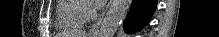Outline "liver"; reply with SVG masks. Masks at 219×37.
<instances>
[{
    "mask_svg": "<svg viewBox=\"0 0 219 37\" xmlns=\"http://www.w3.org/2000/svg\"><path fill=\"white\" fill-rule=\"evenodd\" d=\"M77 35H80L79 37H87V34L86 33H79Z\"/></svg>",
    "mask_w": 219,
    "mask_h": 37,
    "instance_id": "liver-1",
    "label": "liver"
}]
</instances>
